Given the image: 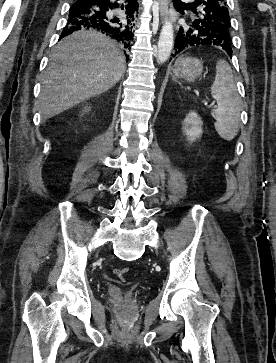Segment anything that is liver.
Listing matches in <instances>:
<instances>
[{
    "label": "liver",
    "instance_id": "liver-1",
    "mask_svg": "<svg viewBox=\"0 0 276 363\" xmlns=\"http://www.w3.org/2000/svg\"><path fill=\"white\" fill-rule=\"evenodd\" d=\"M125 57L109 37L81 30L54 48L39 96L44 119L111 89L125 72Z\"/></svg>",
    "mask_w": 276,
    "mask_h": 363
}]
</instances>
